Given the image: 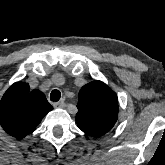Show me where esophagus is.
I'll return each instance as SVG.
<instances>
[{
  "label": "esophagus",
  "instance_id": "1",
  "mask_svg": "<svg viewBox=\"0 0 165 165\" xmlns=\"http://www.w3.org/2000/svg\"><path fill=\"white\" fill-rule=\"evenodd\" d=\"M64 105H65V103H64L63 101L55 102V103L53 104V106H54L55 108H62V107H64Z\"/></svg>",
  "mask_w": 165,
  "mask_h": 165
}]
</instances>
